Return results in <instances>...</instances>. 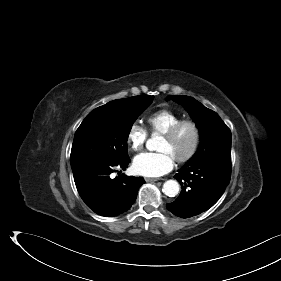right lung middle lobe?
Here are the masks:
<instances>
[{
  "instance_id": "dd1d6c3e",
  "label": "right lung middle lobe",
  "mask_w": 281,
  "mask_h": 281,
  "mask_svg": "<svg viewBox=\"0 0 281 281\" xmlns=\"http://www.w3.org/2000/svg\"><path fill=\"white\" fill-rule=\"evenodd\" d=\"M153 98L135 96L90 112L75 133L71 167L90 162H120L129 158L127 139L131 127Z\"/></svg>"
}]
</instances>
